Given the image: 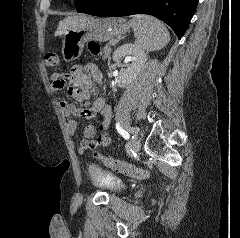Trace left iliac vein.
I'll return each mask as SVG.
<instances>
[{
  "mask_svg": "<svg viewBox=\"0 0 240 238\" xmlns=\"http://www.w3.org/2000/svg\"><path fill=\"white\" fill-rule=\"evenodd\" d=\"M141 148V142L139 139H137L136 141L134 140L133 142V146H132V149L134 152H138Z\"/></svg>",
  "mask_w": 240,
  "mask_h": 238,
  "instance_id": "1",
  "label": "left iliac vein"
}]
</instances>
